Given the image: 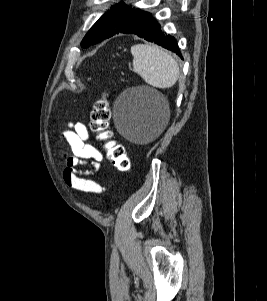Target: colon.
<instances>
[{"instance_id": "colon-1", "label": "colon", "mask_w": 267, "mask_h": 301, "mask_svg": "<svg viewBox=\"0 0 267 301\" xmlns=\"http://www.w3.org/2000/svg\"><path fill=\"white\" fill-rule=\"evenodd\" d=\"M111 112L105 97L98 99L90 113V128L96 134L97 139L103 143L107 158L119 170L128 172L131 169V161L124 147L113 139L109 129Z\"/></svg>"}]
</instances>
